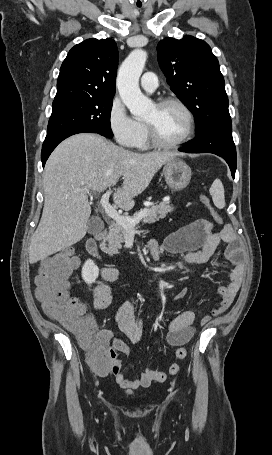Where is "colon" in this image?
<instances>
[{
    "label": "colon",
    "mask_w": 272,
    "mask_h": 455,
    "mask_svg": "<svg viewBox=\"0 0 272 455\" xmlns=\"http://www.w3.org/2000/svg\"><path fill=\"white\" fill-rule=\"evenodd\" d=\"M200 200L210 211L213 219L217 223H222V218L213 208L210 200L205 196ZM76 265L77 260L71 248L63 249L46 259L35 278L36 297L51 318L60 322L81 340L88 352L91 366L98 370L111 365L117 368L119 364L114 360V350L109 349L105 343L95 337L94 323L84 315L83 305L69 296L68 279Z\"/></svg>",
    "instance_id": "1"
}]
</instances>
